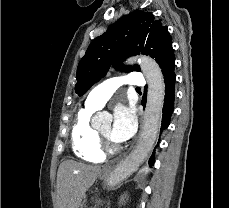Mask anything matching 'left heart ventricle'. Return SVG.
<instances>
[{
    "mask_svg": "<svg viewBox=\"0 0 229 208\" xmlns=\"http://www.w3.org/2000/svg\"><path fill=\"white\" fill-rule=\"evenodd\" d=\"M111 126L107 125L105 127H103L99 132L109 138H111Z\"/></svg>",
    "mask_w": 229,
    "mask_h": 208,
    "instance_id": "obj_1",
    "label": "left heart ventricle"
}]
</instances>
